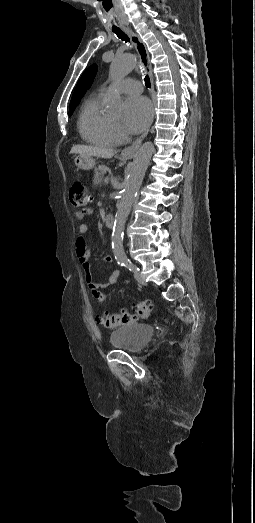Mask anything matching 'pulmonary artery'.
<instances>
[{
	"label": "pulmonary artery",
	"mask_w": 255,
	"mask_h": 523,
	"mask_svg": "<svg viewBox=\"0 0 255 523\" xmlns=\"http://www.w3.org/2000/svg\"><path fill=\"white\" fill-rule=\"evenodd\" d=\"M118 89L121 92L131 93L130 94L131 99L136 100L139 97L138 93H140L142 91V85L138 81H136V80L129 79L128 77H125L123 79V81H121L119 83ZM103 91L105 93L109 92L110 91V87L104 88Z\"/></svg>",
	"instance_id": "1"
}]
</instances>
